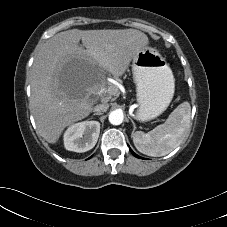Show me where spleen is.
<instances>
[{"mask_svg":"<svg viewBox=\"0 0 227 227\" xmlns=\"http://www.w3.org/2000/svg\"><path fill=\"white\" fill-rule=\"evenodd\" d=\"M191 107L188 102L181 103L169 115L165 123L148 133L136 131L132 138L136 149L148 156L167 155L180 145L190 128Z\"/></svg>","mask_w":227,"mask_h":227,"instance_id":"spleen-1","label":"spleen"}]
</instances>
